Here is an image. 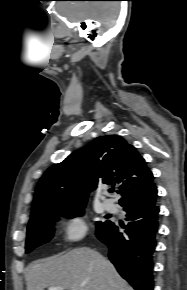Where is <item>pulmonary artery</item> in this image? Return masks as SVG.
<instances>
[{"instance_id": "e3ab8cb5", "label": "pulmonary artery", "mask_w": 187, "mask_h": 290, "mask_svg": "<svg viewBox=\"0 0 187 290\" xmlns=\"http://www.w3.org/2000/svg\"><path fill=\"white\" fill-rule=\"evenodd\" d=\"M102 205H103L104 209L108 212L116 211V206L113 203V201H111V200H108V199L103 200Z\"/></svg>"}]
</instances>
